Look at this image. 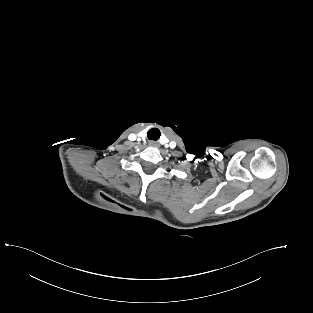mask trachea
<instances>
[{"label":"trachea","instance_id":"3493384b","mask_svg":"<svg viewBox=\"0 0 313 313\" xmlns=\"http://www.w3.org/2000/svg\"><path fill=\"white\" fill-rule=\"evenodd\" d=\"M161 132L157 128H152L147 132V137L149 140L157 141L160 138Z\"/></svg>","mask_w":313,"mask_h":313}]
</instances>
